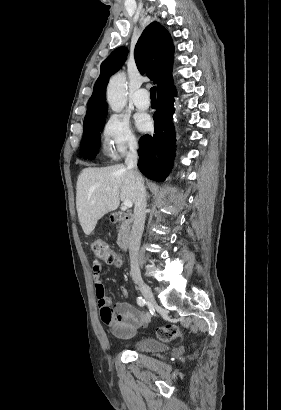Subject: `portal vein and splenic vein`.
<instances>
[{
	"label": "portal vein and splenic vein",
	"mask_w": 281,
	"mask_h": 410,
	"mask_svg": "<svg viewBox=\"0 0 281 410\" xmlns=\"http://www.w3.org/2000/svg\"><path fill=\"white\" fill-rule=\"evenodd\" d=\"M132 205H133V203H132V201H130V200H124V201H123V208H124V209L131 208Z\"/></svg>",
	"instance_id": "18ae733b"
}]
</instances>
